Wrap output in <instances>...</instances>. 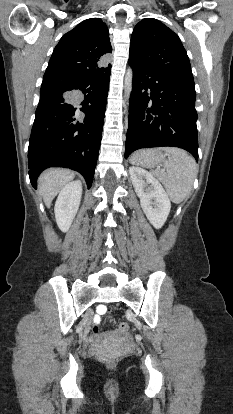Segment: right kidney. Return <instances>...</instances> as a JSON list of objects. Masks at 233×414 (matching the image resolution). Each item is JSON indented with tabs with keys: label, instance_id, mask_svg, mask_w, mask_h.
Instances as JSON below:
<instances>
[{
	"label": "right kidney",
	"instance_id": "1",
	"mask_svg": "<svg viewBox=\"0 0 233 414\" xmlns=\"http://www.w3.org/2000/svg\"><path fill=\"white\" fill-rule=\"evenodd\" d=\"M82 196V184L80 181H72L64 186L56 200L54 212L58 227L68 231L79 209Z\"/></svg>",
	"mask_w": 233,
	"mask_h": 414
}]
</instances>
